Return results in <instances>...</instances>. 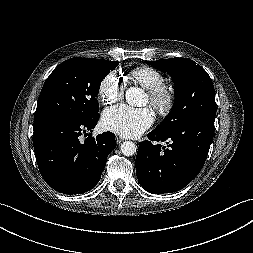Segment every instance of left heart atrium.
I'll list each match as a JSON object with an SVG mask.
<instances>
[{
	"label": "left heart atrium",
	"instance_id": "left-heart-atrium-1",
	"mask_svg": "<svg viewBox=\"0 0 253 253\" xmlns=\"http://www.w3.org/2000/svg\"><path fill=\"white\" fill-rule=\"evenodd\" d=\"M154 121L149 108H133L118 105L106 109L102 115V126L123 137L133 138L148 129Z\"/></svg>",
	"mask_w": 253,
	"mask_h": 253
}]
</instances>
